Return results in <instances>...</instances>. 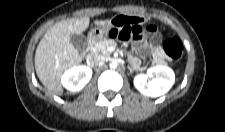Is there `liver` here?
I'll return each instance as SVG.
<instances>
[{
	"label": "liver",
	"instance_id": "1",
	"mask_svg": "<svg viewBox=\"0 0 225 132\" xmlns=\"http://www.w3.org/2000/svg\"><path fill=\"white\" fill-rule=\"evenodd\" d=\"M90 23L89 17L68 19L53 25L40 40L35 52V70L40 82L53 94L61 95L63 72L81 63L79 51L72 45L70 36L81 34ZM110 20H96L104 26Z\"/></svg>",
	"mask_w": 225,
	"mask_h": 132
}]
</instances>
